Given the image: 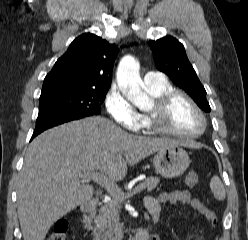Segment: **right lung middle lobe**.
<instances>
[{
  "instance_id": "obj_1",
  "label": "right lung middle lobe",
  "mask_w": 248,
  "mask_h": 240,
  "mask_svg": "<svg viewBox=\"0 0 248 240\" xmlns=\"http://www.w3.org/2000/svg\"><path fill=\"white\" fill-rule=\"evenodd\" d=\"M108 90L61 88L42 92L38 116H80L100 114Z\"/></svg>"
}]
</instances>
